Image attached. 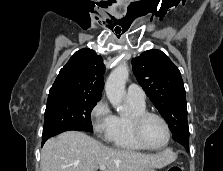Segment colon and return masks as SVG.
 Returning <instances> with one entry per match:
<instances>
[{
    "label": "colon",
    "mask_w": 223,
    "mask_h": 171,
    "mask_svg": "<svg viewBox=\"0 0 223 171\" xmlns=\"http://www.w3.org/2000/svg\"><path fill=\"white\" fill-rule=\"evenodd\" d=\"M168 171H182V169L178 166H172L168 169Z\"/></svg>",
    "instance_id": "colon-1"
}]
</instances>
